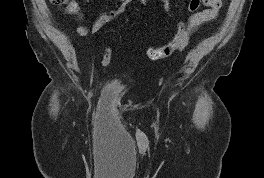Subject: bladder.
<instances>
[{
	"label": "bladder",
	"instance_id": "31cf9c89",
	"mask_svg": "<svg viewBox=\"0 0 264 178\" xmlns=\"http://www.w3.org/2000/svg\"><path fill=\"white\" fill-rule=\"evenodd\" d=\"M127 91V85L118 77L110 78L104 85L103 95L110 99L120 98Z\"/></svg>",
	"mask_w": 264,
	"mask_h": 178
}]
</instances>
